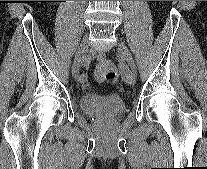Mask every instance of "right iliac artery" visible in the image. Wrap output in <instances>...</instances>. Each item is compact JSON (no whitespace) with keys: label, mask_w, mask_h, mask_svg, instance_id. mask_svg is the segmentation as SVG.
<instances>
[{"label":"right iliac artery","mask_w":207,"mask_h":169,"mask_svg":"<svg viewBox=\"0 0 207 169\" xmlns=\"http://www.w3.org/2000/svg\"><path fill=\"white\" fill-rule=\"evenodd\" d=\"M82 63H83V66L85 68H88L89 66V58L87 56H84L83 59H82ZM86 79V75L84 73L80 74L79 77H78V80L80 82H84Z\"/></svg>","instance_id":"obj_1"}]
</instances>
